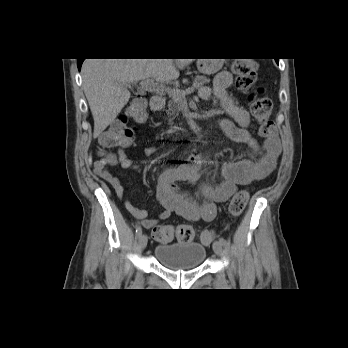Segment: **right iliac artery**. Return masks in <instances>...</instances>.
<instances>
[{
    "label": "right iliac artery",
    "instance_id": "right-iliac-artery-1",
    "mask_svg": "<svg viewBox=\"0 0 348 348\" xmlns=\"http://www.w3.org/2000/svg\"><path fill=\"white\" fill-rule=\"evenodd\" d=\"M136 235L137 237H140L142 235V228L140 226L136 228Z\"/></svg>",
    "mask_w": 348,
    "mask_h": 348
}]
</instances>
